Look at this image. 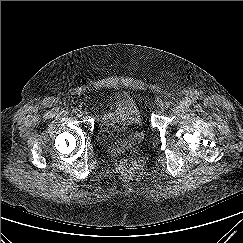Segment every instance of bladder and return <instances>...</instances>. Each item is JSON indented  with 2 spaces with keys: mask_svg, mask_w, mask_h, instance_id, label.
<instances>
[{
  "mask_svg": "<svg viewBox=\"0 0 243 243\" xmlns=\"http://www.w3.org/2000/svg\"><path fill=\"white\" fill-rule=\"evenodd\" d=\"M97 141L105 146H136L145 138V129L140 109L127 93L114 97L113 107L102 113L99 118Z\"/></svg>",
  "mask_w": 243,
  "mask_h": 243,
  "instance_id": "bladder-1",
  "label": "bladder"
}]
</instances>
